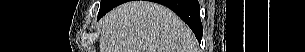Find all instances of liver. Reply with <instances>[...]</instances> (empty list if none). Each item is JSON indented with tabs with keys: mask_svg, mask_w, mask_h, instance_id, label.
<instances>
[{
	"mask_svg": "<svg viewBox=\"0 0 305 52\" xmlns=\"http://www.w3.org/2000/svg\"><path fill=\"white\" fill-rule=\"evenodd\" d=\"M100 52H197L192 31L167 7L129 1L101 20Z\"/></svg>",
	"mask_w": 305,
	"mask_h": 52,
	"instance_id": "liver-1",
	"label": "liver"
}]
</instances>
